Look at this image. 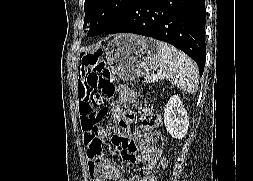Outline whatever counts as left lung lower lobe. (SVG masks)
I'll use <instances>...</instances> for the list:
<instances>
[{"label":"left lung lower lobe","mask_w":253,"mask_h":181,"mask_svg":"<svg viewBox=\"0 0 253 181\" xmlns=\"http://www.w3.org/2000/svg\"><path fill=\"white\" fill-rule=\"evenodd\" d=\"M134 33L181 49L205 65V0H132L121 18L104 34Z\"/></svg>","instance_id":"0a47b994"}]
</instances>
